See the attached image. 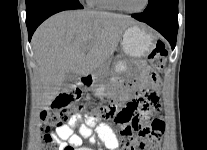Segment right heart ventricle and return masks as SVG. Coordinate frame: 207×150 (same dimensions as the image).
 Segmentation results:
<instances>
[{"mask_svg": "<svg viewBox=\"0 0 207 150\" xmlns=\"http://www.w3.org/2000/svg\"><path fill=\"white\" fill-rule=\"evenodd\" d=\"M89 4L100 10L115 11L118 9L112 0H89Z\"/></svg>", "mask_w": 207, "mask_h": 150, "instance_id": "e07e8e85", "label": "right heart ventricle"}]
</instances>
